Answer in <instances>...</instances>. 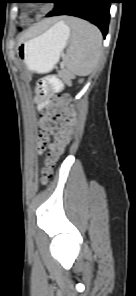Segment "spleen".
<instances>
[{
	"mask_svg": "<svg viewBox=\"0 0 136 296\" xmlns=\"http://www.w3.org/2000/svg\"><path fill=\"white\" fill-rule=\"evenodd\" d=\"M68 25L72 34L65 66L75 75H88L96 68L101 56V32L94 25L77 18H70Z\"/></svg>",
	"mask_w": 136,
	"mask_h": 296,
	"instance_id": "spleen-1",
	"label": "spleen"
}]
</instances>
